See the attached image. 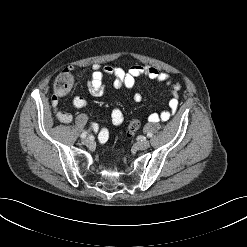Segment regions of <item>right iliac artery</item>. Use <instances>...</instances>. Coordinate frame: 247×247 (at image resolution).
I'll use <instances>...</instances> for the list:
<instances>
[{"instance_id":"1","label":"right iliac artery","mask_w":247,"mask_h":247,"mask_svg":"<svg viewBox=\"0 0 247 247\" xmlns=\"http://www.w3.org/2000/svg\"><path fill=\"white\" fill-rule=\"evenodd\" d=\"M87 132L86 131H84L81 135H80V137L82 138V139H84V138H86V136H87Z\"/></svg>"}]
</instances>
